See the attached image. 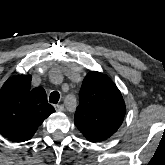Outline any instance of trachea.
Listing matches in <instances>:
<instances>
[{
	"mask_svg": "<svg viewBox=\"0 0 165 165\" xmlns=\"http://www.w3.org/2000/svg\"><path fill=\"white\" fill-rule=\"evenodd\" d=\"M59 98H60V94L58 92L54 91L50 94L49 101H50V103L56 104V103H58Z\"/></svg>",
	"mask_w": 165,
	"mask_h": 165,
	"instance_id": "1",
	"label": "trachea"
}]
</instances>
